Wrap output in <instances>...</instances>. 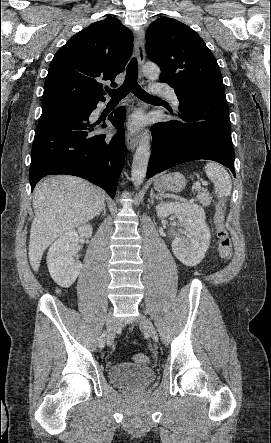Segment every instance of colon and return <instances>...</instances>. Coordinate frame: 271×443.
<instances>
[{"label": "colon", "mask_w": 271, "mask_h": 443, "mask_svg": "<svg viewBox=\"0 0 271 443\" xmlns=\"http://www.w3.org/2000/svg\"><path fill=\"white\" fill-rule=\"evenodd\" d=\"M226 207L223 201H218L216 205V214L214 218V224L216 228V235L218 239V250L220 256L223 259H230L232 256V243L228 236L225 225ZM134 361L138 364H147L149 361L148 356L145 353H137L133 357Z\"/></svg>", "instance_id": "colon-1"}]
</instances>
